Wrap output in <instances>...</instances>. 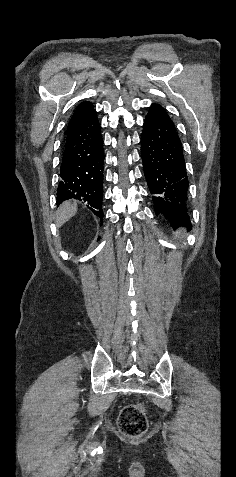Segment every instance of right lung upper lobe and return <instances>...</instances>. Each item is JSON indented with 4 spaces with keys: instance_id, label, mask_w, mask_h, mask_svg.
Masks as SVG:
<instances>
[{
    "instance_id": "right-lung-upper-lobe-1",
    "label": "right lung upper lobe",
    "mask_w": 236,
    "mask_h": 477,
    "mask_svg": "<svg viewBox=\"0 0 236 477\" xmlns=\"http://www.w3.org/2000/svg\"><path fill=\"white\" fill-rule=\"evenodd\" d=\"M92 103L90 102H82L77 109L75 110L74 114L72 115L70 122L68 124L67 133L72 132L73 130L77 129L83 122L88 118V116L94 112Z\"/></svg>"
}]
</instances>
